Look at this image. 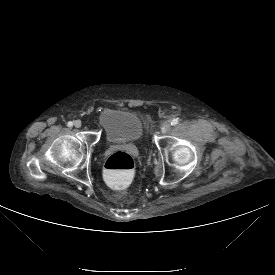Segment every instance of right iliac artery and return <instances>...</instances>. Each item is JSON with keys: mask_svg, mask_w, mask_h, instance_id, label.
Wrapping results in <instances>:
<instances>
[{"mask_svg": "<svg viewBox=\"0 0 275 275\" xmlns=\"http://www.w3.org/2000/svg\"><path fill=\"white\" fill-rule=\"evenodd\" d=\"M67 126H68V127H72V126H73V122L69 121V122L67 123Z\"/></svg>", "mask_w": 275, "mask_h": 275, "instance_id": "right-iliac-artery-1", "label": "right iliac artery"}]
</instances>
